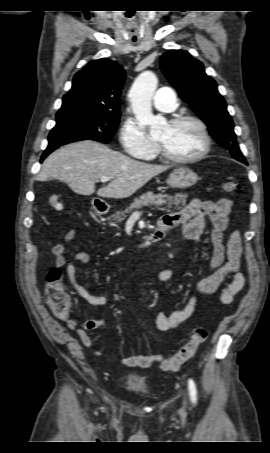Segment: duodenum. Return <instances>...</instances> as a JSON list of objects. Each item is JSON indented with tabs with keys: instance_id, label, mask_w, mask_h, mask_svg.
Here are the masks:
<instances>
[{
	"instance_id": "obj_1",
	"label": "duodenum",
	"mask_w": 270,
	"mask_h": 453,
	"mask_svg": "<svg viewBox=\"0 0 270 453\" xmlns=\"http://www.w3.org/2000/svg\"><path fill=\"white\" fill-rule=\"evenodd\" d=\"M97 213L98 214H107L108 209L107 208H97ZM168 227L162 222L159 223L158 228L149 236V238L142 244L138 245L139 248H144L152 245L154 242H157L161 240L167 233Z\"/></svg>"
}]
</instances>
